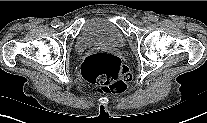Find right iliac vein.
I'll use <instances>...</instances> for the list:
<instances>
[{
	"label": "right iliac vein",
	"instance_id": "right-iliac-vein-1",
	"mask_svg": "<svg viewBox=\"0 0 207 123\" xmlns=\"http://www.w3.org/2000/svg\"><path fill=\"white\" fill-rule=\"evenodd\" d=\"M63 26V23L62 22H59V27H62Z\"/></svg>",
	"mask_w": 207,
	"mask_h": 123
}]
</instances>
